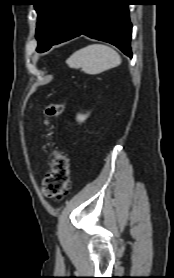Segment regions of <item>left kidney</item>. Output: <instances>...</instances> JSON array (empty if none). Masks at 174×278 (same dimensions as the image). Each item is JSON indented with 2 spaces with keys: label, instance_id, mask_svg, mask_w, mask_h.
Wrapping results in <instances>:
<instances>
[{
  "label": "left kidney",
  "instance_id": "5707ae66",
  "mask_svg": "<svg viewBox=\"0 0 174 278\" xmlns=\"http://www.w3.org/2000/svg\"><path fill=\"white\" fill-rule=\"evenodd\" d=\"M87 117H88V115L79 114V115L77 116V120H78L79 122H83V121L86 120Z\"/></svg>",
  "mask_w": 174,
  "mask_h": 278
}]
</instances>
